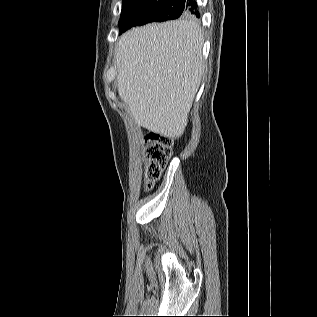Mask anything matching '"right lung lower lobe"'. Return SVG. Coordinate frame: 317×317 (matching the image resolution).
I'll return each mask as SVG.
<instances>
[{"mask_svg":"<svg viewBox=\"0 0 317 317\" xmlns=\"http://www.w3.org/2000/svg\"><path fill=\"white\" fill-rule=\"evenodd\" d=\"M181 6H183V11L196 15L199 17L198 5L196 0H179Z\"/></svg>","mask_w":317,"mask_h":317,"instance_id":"right-lung-lower-lobe-1","label":"right lung lower lobe"}]
</instances>
